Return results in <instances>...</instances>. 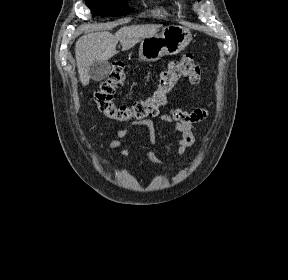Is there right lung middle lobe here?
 I'll use <instances>...</instances> for the list:
<instances>
[{
    "label": "right lung middle lobe",
    "mask_w": 288,
    "mask_h": 280,
    "mask_svg": "<svg viewBox=\"0 0 288 280\" xmlns=\"http://www.w3.org/2000/svg\"><path fill=\"white\" fill-rule=\"evenodd\" d=\"M91 11L102 17L123 16L133 12L124 0H85Z\"/></svg>",
    "instance_id": "obj_1"
}]
</instances>
